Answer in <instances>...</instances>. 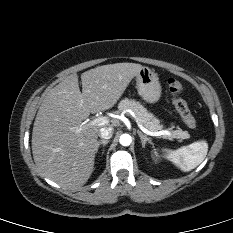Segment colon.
I'll use <instances>...</instances> for the list:
<instances>
[{
	"label": "colon",
	"mask_w": 233,
	"mask_h": 233,
	"mask_svg": "<svg viewBox=\"0 0 233 233\" xmlns=\"http://www.w3.org/2000/svg\"><path fill=\"white\" fill-rule=\"evenodd\" d=\"M165 84L167 86L170 96L172 97V103L176 111L182 118L183 122L188 127H195L196 125L195 116L190 111L186 101L179 97V94L182 92L181 83L177 79L173 77H169L166 79Z\"/></svg>",
	"instance_id": "obj_1"
}]
</instances>
